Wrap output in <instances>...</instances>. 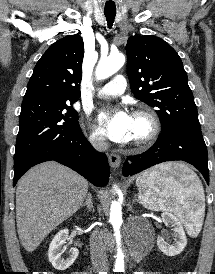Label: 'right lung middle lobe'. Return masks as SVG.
<instances>
[{"instance_id": "obj_1", "label": "right lung middle lobe", "mask_w": 215, "mask_h": 274, "mask_svg": "<svg viewBox=\"0 0 215 274\" xmlns=\"http://www.w3.org/2000/svg\"><path fill=\"white\" fill-rule=\"evenodd\" d=\"M73 102L37 100L22 104L14 165L35 150L64 136L80 131Z\"/></svg>"}]
</instances>
